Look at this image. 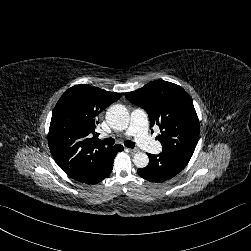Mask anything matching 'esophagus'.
Instances as JSON below:
<instances>
[{
  "label": "esophagus",
  "instance_id": "1",
  "mask_svg": "<svg viewBox=\"0 0 251 251\" xmlns=\"http://www.w3.org/2000/svg\"><path fill=\"white\" fill-rule=\"evenodd\" d=\"M128 151L131 154H135V153L139 152V149H137V148H134V149L130 148V149H128Z\"/></svg>",
  "mask_w": 251,
  "mask_h": 251
}]
</instances>
